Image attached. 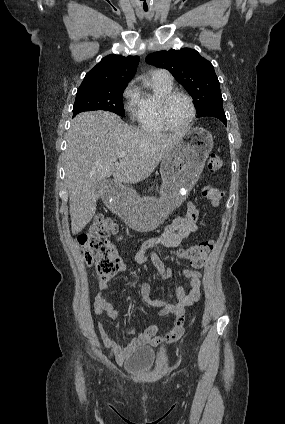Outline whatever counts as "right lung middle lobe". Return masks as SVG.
<instances>
[{
	"label": "right lung middle lobe",
	"mask_w": 285,
	"mask_h": 424,
	"mask_svg": "<svg viewBox=\"0 0 285 424\" xmlns=\"http://www.w3.org/2000/svg\"><path fill=\"white\" fill-rule=\"evenodd\" d=\"M127 85L79 87L73 116L83 111L105 110L124 117L122 95Z\"/></svg>",
	"instance_id": "obj_1"
}]
</instances>
